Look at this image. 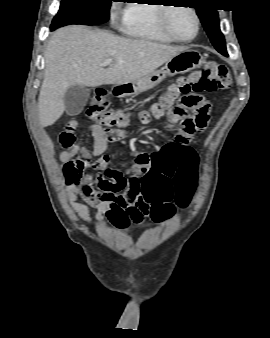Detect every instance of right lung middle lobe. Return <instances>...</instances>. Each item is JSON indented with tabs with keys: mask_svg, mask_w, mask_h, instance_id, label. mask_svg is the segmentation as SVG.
<instances>
[{
	"mask_svg": "<svg viewBox=\"0 0 270 338\" xmlns=\"http://www.w3.org/2000/svg\"><path fill=\"white\" fill-rule=\"evenodd\" d=\"M113 0H62L51 30L68 24L97 25L109 19Z\"/></svg>",
	"mask_w": 270,
	"mask_h": 338,
	"instance_id": "dd1d6c3e",
	"label": "right lung middle lobe"
}]
</instances>
